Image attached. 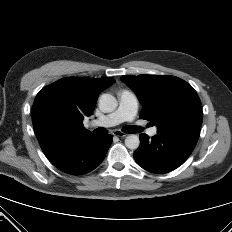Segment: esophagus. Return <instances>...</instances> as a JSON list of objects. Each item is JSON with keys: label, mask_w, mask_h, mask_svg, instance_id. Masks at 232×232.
Wrapping results in <instances>:
<instances>
[{"label": "esophagus", "mask_w": 232, "mask_h": 232, "mask_svg": "<svg viewBox=\"0 0 232 232\" xmlns=\"http://www.w3.org/2000/svg\"><path fill=\"white\" fill-rule=\"evenodd\" d=\"M113 135L114 136H117V137H120V138H124L127 136V134H125L124 132L120 131V130H115L113 132Z\"/></svg>", "instance_id": "esophagus-1"}]
</instances>
